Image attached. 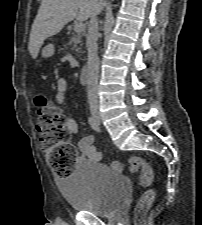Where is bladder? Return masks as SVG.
<instances>
[{
  "label": "bladder",
  "mask_w": 202,
  "mask_h": 225,
  "mask_svg": "<svg viewBox=\"0 0 202 225\" xmlns=\"http://www.w3.org/2000/svg\"><path fill=\"white\" fill-rule=\"evenodd\" d=\"M60 191L72 210L108 217L129 196L131 183L125 174L85 159L77 161L72 173L64 177Z\"/></svg>",
  "instance_id": "31cf9c89"
}]
</instances>
